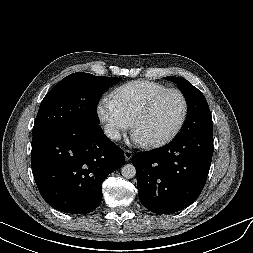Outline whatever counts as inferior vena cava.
Here are the masks:
<instances>
[{"label": "inferior vena cava", "mask_w": 253, "mask_h": 253, "mask_svg": "<svg viewBox=\"0 0 253 253\" xmlns=\"http://www.w3.org/2000/svg\"><path fill=\"white\" fill-rule=\"evenodd\" d=\"M104 133L106 134L107 137H109L112 140H120L121 135L119 133V130L116 129L113 125L111 124H106L104 127Z\"/></svg>", "instance_id": "inferior-vena-cava-1"}]
</instances>
